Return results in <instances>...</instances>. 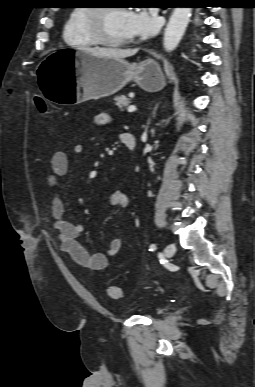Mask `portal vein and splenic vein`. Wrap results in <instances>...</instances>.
<instances>
[{
  "mask_svg": "<svg viewBox=\"0 0 255 387\" xmlns=\"http://www.w3.org/2000/svg\"><path fill=\"white\" fill-rule=\"evenodd\" d=\"M136 106L135 105H130L129 107H128V112H130V113H132V112H134V111H136Z\"/></svg>",
  "mask_w": 255,
  "mask_h": 387,
  "instance_id": "portal-vein-and-splenic-vein-1",
  "label": "portal vein and splenic vein"
}]
</instances>
